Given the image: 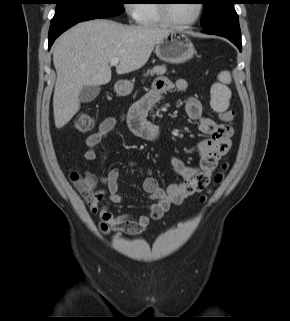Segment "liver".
<instances>
[{
    "instance_id": "obj_1",
    "label": "liver",
    "mask_w": 290,
    "mask_h": 321,
    "mask_svg": "<svg viewBox=\"0 0 290 321\" xmlns=\"http://www.w3.org/2000/svg\"><path fill=\"white\" fill-rule=\"evenodd\" d=\"M169 32L154 26H127L95 19L78 23L63 33L53 46L56 128L65 126L79 111V93L84 86L104 85L111 80V59H119L118 75L140 69Z\"/></svg>"
}]
</instances>
